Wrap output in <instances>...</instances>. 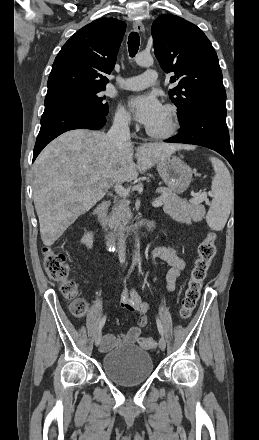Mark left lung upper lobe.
<instances>
[{
	"instance_id": "left-lung-upper-lobe-1",
	"label": "left lung upper lobe",
	"mask_w": 259,
	"mask_h": 440,
	"mask_svg": "<svg viewBox=\"0 0 259 440\" xmlns=\"http://www.w3.org/2000/svg\"><path fill=\"white\" fill-rule=\"evenodd\" d=\"M154 53L161 68L174 72L170 99L179 110V122L203 104L225 107L226 91L217 54L206 35L191 22L160 15L152 25Z\"/></svg>"
}]
</instances>
